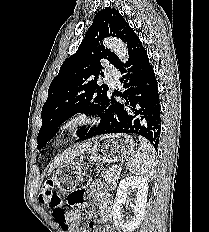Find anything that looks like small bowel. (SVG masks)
Returning a JSON list of instances; mask_svg holds the SVG:
<instances>
[{
	"label": "small bowel",
	"mask_w": 209,
	"mask_h": 232,
	"mask_svg": "<svg viewBox=\"0 0 209 232\" xmlns=\"http://www.w3.org/2000/svg\"><path fill=\"white\" fill-rule=\"evenodd\" d=\"M87 190H89V185H76V190H70L68 194L69 203L71 206L85 205L86 199L91 198L95 201L100 216V222L106 223L112 219V208H111V198L103 186L96 182L92 185L89 194L87 195ZM81 213L79 209H73L68 213H65V218L67 222L66 228H62L64 232H89L87 229H79L77 226V221L80 219ZM59 224V223H58ZM93 232H116L115 228L111 225H106L105 227L95 226Z\"/></svg>",
	"instance_id": "c3829d8e"
}]
</instances>
